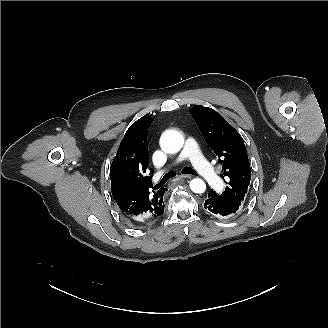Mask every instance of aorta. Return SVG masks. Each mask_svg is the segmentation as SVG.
<instances>
[{
  "instance_id": "obj_1",
  "label": "aorta",
  "mask_w": 328,
  "mask_h": 328,
  "mask_svg": "<svg viewBox=\"0 0 328 328\" xmlns=\"http://www.w3.org/2000/svg\"><path fill=\"white\" fill-rule=\"evenodd\" d=\"M160 142L167 152H178L183 147L184 138L178 131L169 130L162 134ZM190 188L194 193L200 194L206 190V184L196 178L191 180Z\"/></svg>"
}]
</instances>
